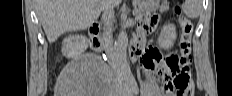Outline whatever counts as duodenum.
<instances>
[{"label":"duodenum","instance_id":"410a0bca","mask_svg":"<svg viewBox=\"0 0 232 96\" xmlns=\"http://www.w3.org/2000/svg\"><path fill=\"white\" fill-rule=\"evenodd\" d=\"M98 33H99L98 24L92 25L89 30L90 44H91L92 50L96 53L101 52V49H102V43H101V40L98 38ZM138 54H139L138 49L133 46L132 51H131L132 57L136 59Z\"/></svg>","mask_w":232,"mask_h":96}]
</instances>
